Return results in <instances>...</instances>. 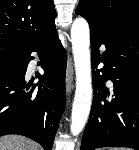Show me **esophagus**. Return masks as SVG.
<instances>
[{"label":"esophagus","mask_w":139,"mask_h":150,"mask_svg":"<svg viewBox=\"0 0 139 150\" xmlns=\"http://www.w3.org/2000/svg\"><path fill=\"white\" fill-rule=\"evenodd\" d=\"M73 88V65L70 58H68L66 69V92L70 94Z\"/></svg>","instance_id":"esophagus-1"}]
</instances>
